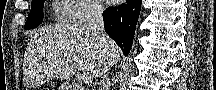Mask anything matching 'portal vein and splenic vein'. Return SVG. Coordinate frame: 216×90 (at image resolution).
Segmentation results:
<instances>
[{
  "mask_svg": "<svg viewBox=\"0 0 216 90\" xmlns=\"http://www.w3.org/2000/svg\"><path fill=\"white\" fill-rule=\"evenodd\" d=\"M91 78V74H83L82 76V80H84V82H92Z\"/></svg>",
  "mask_w": 216,
  "mask_h": 90,
  "instance_id": "18ae733b",
  "label": "portal vein and splenic vein"
}]
</instances>
